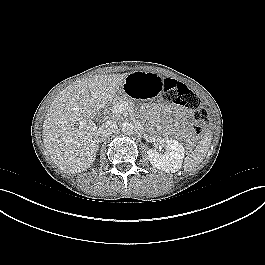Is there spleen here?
Masks as SVG:
<instances>
[{
    "instance_id": "obj_1",
    "label": "spleen",
    "mask_w": 265,
    "mask_h": 265,
    "mask_svg": "<svg viewBox=\"0 0 265 265\" xmlns=\"http://www.w3.org/2000/svg\"><path fill=\"white\" fill-rule=\"evenodd\" d=\"M212 139L211 133H206L205 138L200 141V144L196 146V148L189 154L184 161V169L189 171L196 168L206 156L210 142Z\"/></svg>"
}]
</instances>
